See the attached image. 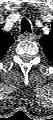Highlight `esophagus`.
<instances>
[{
  "label": "esophagus",
  "mask_w": 53,
  "mask_h": 120,
  "mask_svg": "<svg viewBox=\"0 0 53 120\" xmlns=\"http://www.w3.org/2000/svg\"><path fill=\"white\" fill-rule=\"evenodd\" d=\"M20 37L24 40H33V39H35L36 36L34 34L26 32V33L22 34Z\"/></svg>",
  "instance_id": "1"
}]
</instances>
